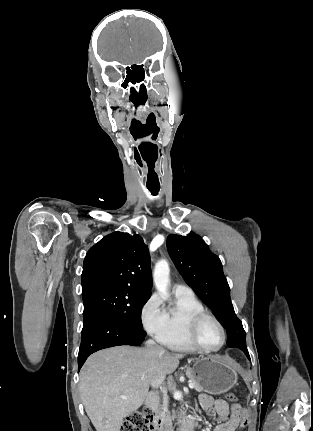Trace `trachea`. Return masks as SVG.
Segmentation results:
<instances>
[{
    "label": "trachea",
    "mask_w": 313,
    "mask_h": 431,
    "mask_svg": "<svg viewBox=\"0 0 313 431\" xmlns=\"http://www.w3.org/2000/svg\"><path fill=\"white\" fill-rule=\"evenodd\" d=\"M147 188L152 195H157L160 190V186H147Z\"/></svg>",
    "instance_id": "3493384b"
}]
</instances>
